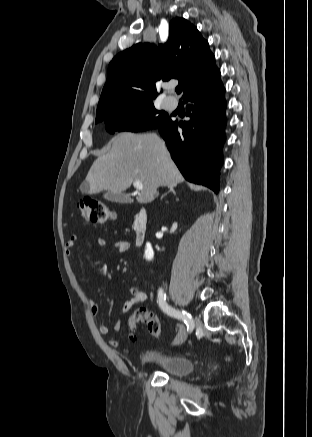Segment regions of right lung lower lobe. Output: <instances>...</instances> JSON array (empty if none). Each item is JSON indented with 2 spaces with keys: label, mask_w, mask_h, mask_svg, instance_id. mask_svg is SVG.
Returning <instances> with one entry per match:
<instances>
[{
  "label": "right lung lower lobe",
  "mask_w": 312,
  "mask_h": 437,
  "mask_svg": "<svg viewBox=\"0 0 312 437\" xmlns=\"http://www.w3.org/2000/svg\"><path fill=\"white\" fill-rule=\"evenodd\" d=\"M225 88L220 71L183 96L187 122L170 121L159 128L171 157L184 178L219 192V171L226 125ZM181 127L183 133L177 128Z\"/></svg>",
  "instance_id": "1"
}]
</instances>
